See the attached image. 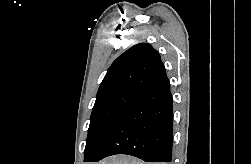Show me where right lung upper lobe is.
Masks as SVG:
<instances>
[{"label": "right lung upper lobe", "instance_id": "cb5924a9", "mask_svg": "<svg viewBox=\"0 0 251 164\" xmlns=\"http://www.w3.org/2000/svg\"><path fill=\"white\" fill-rule=\"evenodd\" d=\"M166 77L159 53L139 43L120 55L108 69L97 96L124 87L143 89Z\"/></svg>", "mask_w": 251, "mask_h": 164}]
</instances>
